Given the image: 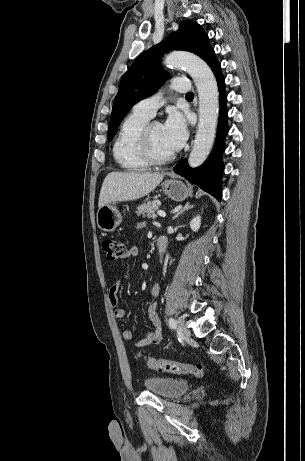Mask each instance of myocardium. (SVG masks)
Returning <instances> with one entry per match:
<instances>
[{"mask_svg": "<svg viewBox=\"0 0 305 461\" xmlns=\"http://www.w3.org/2000/svg\"><path fill=\"white\" fill-rule=\"evenodd\" d=\"M157 124L160 123L157 121H150L145 124L139 136L138 146L140 153L146 162L153 165H162L172 161L175 158V154L171 153L166 156H157L154 153L151 144V131L152 128Z\"/></svg>", "mask_w": 305, "mask_h": 461, "instance_id": "f54148a6", "label": "myocardium"}]
</instances>
